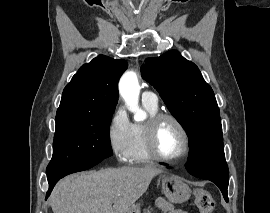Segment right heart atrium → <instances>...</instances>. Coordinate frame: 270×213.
<instances>
[{
	"label": "right heart atrium",
	"instance_id": "right-heart-atrium-1",
	"mask_svg": "<svg viewBox=\"0 0 270 213\" xmlns=\"http://www.w3.org/2000/svg\"><path fill=\"white\" fill-rule=\"evenodd\" d=\"M131 123L126 111L118 107L112 115L108 127L111 150L119 161H126L130 145Z\"/></svg>",
	"mask_w": 270,
	"mask_h": 213
}]
</instances>
